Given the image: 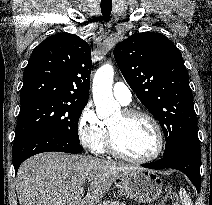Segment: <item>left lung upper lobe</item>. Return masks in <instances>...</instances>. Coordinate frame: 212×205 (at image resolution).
I'll return each mask as SVG.
<instances>
[{"instance_id": "left-lung-upper-lobe-1", "label": "left lung upper lobe", "mask_w": 212, "mask_h": 205, "mask_svg": "<svg viewBox=\"0 0 212 205\" xmlns=\"http://www.w3.org/2000/svg\"><path fill=\"white\" fill-rule=\"evenodd\" d=\"M115 60L138 99L159 121L170 155L197 132L188 71L179 49L163 34L135 33L114 49Z\"/></svg>"}]
</instances>
